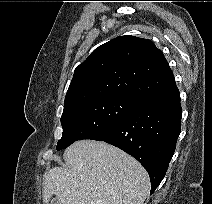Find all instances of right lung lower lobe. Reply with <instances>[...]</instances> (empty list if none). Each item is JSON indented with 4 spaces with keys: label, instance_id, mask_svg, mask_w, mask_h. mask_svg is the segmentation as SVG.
<instances>
[{
    "label": "right lung lower lobe",
    "instance_id": "obj_1",
    "mask_svg": "<svg viewBox=\"0 0 212 204\" xmlns=\"http://www.w3.org/2000/svg\"><path fill=\"white\" fill-rule=\"evenodd\" d=\"M181 115L180 93L175 85L141 100L121 122L91 139L112 144L136 158L150 176L152 194L174 154Z\"/></svg>",
    "mask_w": 212,
    "mask_h": 204
}]
</instances>
